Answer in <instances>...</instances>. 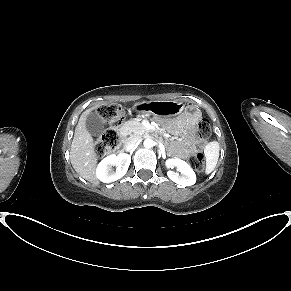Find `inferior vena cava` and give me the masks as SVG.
Masks as SVG:
<instances>
[{"label":"inferior vena cava","mask_w":291,"mask_h":291,"mask_svg":"<svg viewBox=\"0 0 291 291\" xmlns=\"http://www.w3.org/2000/svg\"><path fill=\"white\" fill-rule=\"evenodd\" d=\"M138 143H139V139L138 138L129 140V142L126 145L125 150L128 151V152L133 150L138 145Z\"/></svg>","instance_id":"602c4592"}]
</instances>
